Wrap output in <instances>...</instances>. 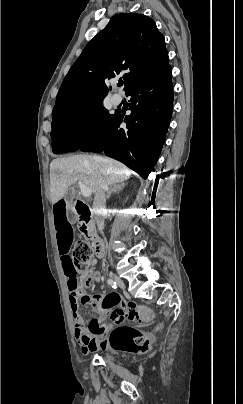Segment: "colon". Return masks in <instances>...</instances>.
<instances>
[{
  "label": "colon",
  "mask_w": 243,
  "mask_h": 404,
  "mask_svg": "<svg viewBox=\"0 0 243 404\" xmlns=\"http://www.w3.org/2000/svg\"><path fill=\"white\" fill-rule=\"evenodd\" d=\"M95 258L93 250L86 241H78L72 253L75 286L88 285L94 272ZM109 345L117 351L142 352L148 348L149 338L130 326H118L109 336Z\"/></svg>",
  "instance_id": "colon-1"
}]
</instances>
